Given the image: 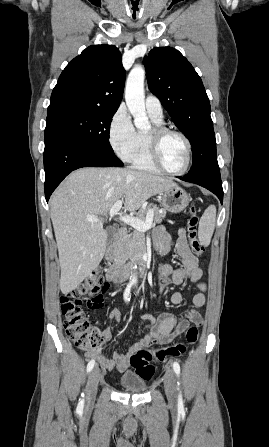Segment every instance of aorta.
Segmentation results:
<instances>
[{"label":"aorta","instance_id":"762f6f07","mask_svg":"<svg viewBox=\"0 0 269 447\" xmlns=\"http://www.w3.org/2000/svg\"><path fill=\"white\" fill-rule=\"evenodd\" d=\"M144 78L145 70L142 66H135L131 70L126 82L125 100L134 118L135 128L150 130V122L145 110ZM137 281L136 275H131L130 283H137Z\"/></svg>","mask_w":269,"mask_h":447}]
</instances>
